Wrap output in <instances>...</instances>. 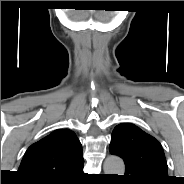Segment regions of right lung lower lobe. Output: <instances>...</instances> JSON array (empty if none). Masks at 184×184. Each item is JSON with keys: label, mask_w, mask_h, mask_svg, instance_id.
I'll list each match as a JSON object with an SVG mask.
<instances>
[{"label": "right lung lower lobe", "mask_w": 184, "mask_h": 184, "mask_svg": "<svg viewBox=\"0 0 184 184\" xmlns=\"http://www.w3.org/2000/svg\"><path fill=\"white\" fill-rule=\"evenodd\" d=\"M83 174V167L78 170L73 176L70 178L63 180V181H58L54 183H38V184H75L77 183V178Z\"/></svg>", "instance_id": "obj_1"}]
</instances>
